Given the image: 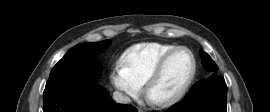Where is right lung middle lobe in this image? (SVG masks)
<instances>
[{"instance_id":"1","label":"right lung middle lobe","mask_w":270,"mask_h":112,"mask_svg":"<svg viewBox=\"0 0 270 112\" xmlns=\"http://www.w3.org/2000/svg\"><path fill=\"white\" fill-rule=\"evenodd\" d=\"M109 44V40H104L74 46L53 67L47 83H96L99 68L95 63V57L105 50Z\"/></svg>"}]
</instances>
